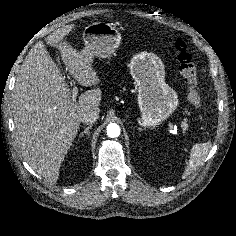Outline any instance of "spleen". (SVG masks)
Instances as JSON below:
<instances>
[{
	"mask_svg": "<svg viewBox=\"0 0 236 236\" xmlns=\"http://www.w3.org/2000/svg\"><path fill=\"white\" fill-rule=\"evenodd\" d=\"M211 148V143L206 142V143H200V144H195L192 147L191 154H190V159L187 162L186 169L182 175V178L185 179L191 173L201 165V163L204 161L206 156L208 155V152Z\"/></svg>",
	"mask_w": 236,
	"mask_h": 236,
	"instance_id": "1",
	"label": "spleen"
}]
</instances>
